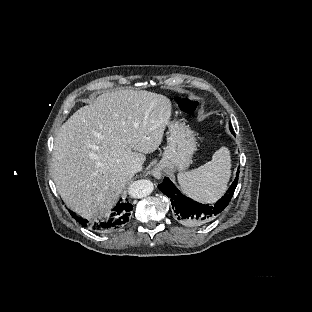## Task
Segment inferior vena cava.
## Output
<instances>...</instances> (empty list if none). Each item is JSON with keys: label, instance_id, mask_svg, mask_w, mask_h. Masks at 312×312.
Here are the masks:
<instances>
[{"label": "inferior vena cava", "instance_id": "inferior-vena-cava-1", "mask_svg": "<svg viewBox=\"0 0 312 312\" xmlns=\"http://www.w3.org/2000/svg\"><path fill=\"white\" fill-rule=\"evenodd\" d=\"M142 162L135 161L133 162L129 167V172L131 175H134L137 172H140L142 170Z\"/></svg>", "mask_w": 312, "mask_h": 312}]
</instances>
